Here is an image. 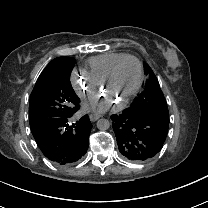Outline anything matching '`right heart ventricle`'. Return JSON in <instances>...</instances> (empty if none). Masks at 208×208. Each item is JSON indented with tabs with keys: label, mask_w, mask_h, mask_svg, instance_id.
<instances>
[{
	"label": "right heart ventricle",
	"mask_w": 208,
	"mask_h": 208,
	"mask_svg": "<svg viewBox=\"0 0 208 208\" xmlns=\"http://www.w3.org/2000/svg\"><path fill=\"white\" fill-rule=\"evenodd\" d=\"M122 53H105L90 58L87 61L91 77L99 84L100 81L108 74L114 63L122 58Z\"/></svg>",
	"instance_id": "obj_1"
}]
</instances>
